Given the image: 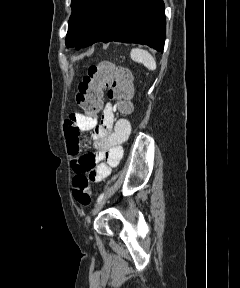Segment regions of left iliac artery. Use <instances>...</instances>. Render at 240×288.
Returning <instances> with one entry per match:
<instances>
[{"label": "left iliac artery", "mask_w": 240, "mask_h": 288, "mask_svg": "<svg viewBox=\"0 0 240 288\" xmlns=\"http://www.w3.org/2000/svg\"><path fill=\"white\" fill-rule=\"evenodd\" d=\"M103 198H104V193L99 195V197L97 198V203L102 201Z\"/></svg>", "instance_id": "left-iliac-artery-1"}]
</instances>
